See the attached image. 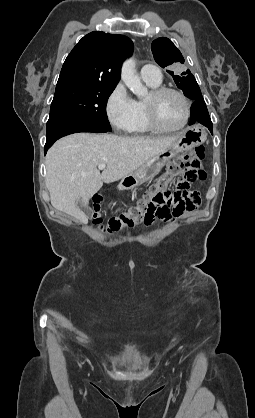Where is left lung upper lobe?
I'll return each mask as SVG.
<instances>
[{"label": "left lung upper lobe", "mask_w": 255, "mask_h": 418, "mask_svg": "<svg viewBox=\"0 0 255 418\" xmlns=\"http://www.w3.org/2000/svg\"><path fill=\"white\" fill-rule=\"evenodd\" d=\"M152 53L155 61L162 67H177L180 63H184V58L178 48L165 37L154 40L151 44ZM173 77L177 87L181 89L184 95L193 101L203 100L200 88L195 77L189 70L182 71L175 68L167 70Z\"/></svg>", "instance_id": "obj_1"}]
</instances>
